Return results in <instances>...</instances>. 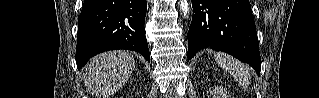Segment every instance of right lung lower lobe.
Masks as SVG:
<instances>
[{
    "label": "right lung lower lobe",
    "mask_w": 319,
    "mask_h": 98,
    "mask_svg": "<svg viewBox=\"0 0 319 98\" xmlns=\"http://www.w3.org/2000/svg\"><path fill=\"white\" fill-rule=\"evenodd\" d=\"M146 11V0H84L78 21L77 68L94 55L114 49L137 51L150 61Z\"/></svg>",
    "instance_id": "obj_1"
}]
</instances>
